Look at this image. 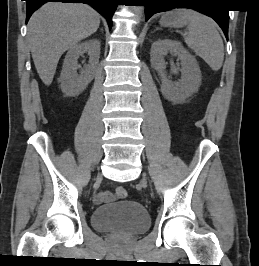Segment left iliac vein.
Instances as JSON below:
<instances>
[{
    "label": "left iliac vein",
    "mask_w": 259,
    "mask_h": 266,
    "mask_svg": "<svg viewBox=\"0 0 259 266\" xmlns=\"http://www.w3.org/2000/svg\"><path fill=\"white\" fill-rule=\"evenodd\" d=\"M143 181L146 182V178H145V176L143 177Z\"/></svg>",
    "instance_id": "obj_1"
}]
</instances>
